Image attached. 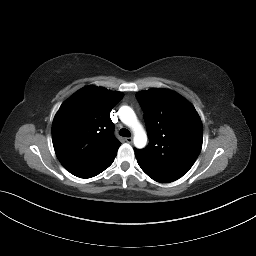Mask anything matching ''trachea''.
I'll use <instances>...</instances> for the list:
<instances>
[{
    "mask_svg": "<svg viewBox=\"0 0 256 256\" xmlns=\"http://www.w3.org/2000/svg\"><path fill=\"white\" fill-rule=\"evenodd\" d=\"M119 134L123 137H130L131 136V133L129 130L125 129V128H122L120 131H119Z\"/></svg>",
    "mask_w": 256,
    "mask_h": 256,
    "instance_id": "3493384b",
    "label": "trachea"
}]
</instances>
